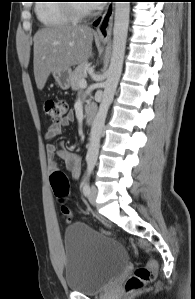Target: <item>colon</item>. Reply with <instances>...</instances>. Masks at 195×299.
Returning a JSON list of instances; mask_svg holds the SVG:
<instances>
[{
    "label": "colon",
    "instance_id": "5ec220e1",
    "mask_svg": "<svg viewBox=\"0 0 195 299\" xmlns=\"http://www.w3.org/2000/svg\"><path fill=\"white\" fill-rule=\"evenodd\" d=\"M44 109L53 122H59L66 116L68 105L62 100H48L45 102ZM50 180L54 194L59 199H64L69 191V179L66 174L61 170H54L51 173ZM61 212L71 220L72 212L67 206H62ZM156 268L157 264L154 260H149L146 264L138 266L127 280L126 290L135 292L151 283L155 279Z\"/></svg>",
    "mask_w": 195,
    "mask_h": 299
}]
</instances>
